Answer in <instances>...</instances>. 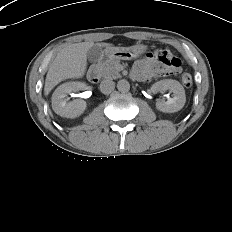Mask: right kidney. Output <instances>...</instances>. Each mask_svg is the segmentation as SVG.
I'll use <instances>...</instances> for the list:
<instances>
[{
    "label": "right kidney",
    "mask_w": 232,
    "mask_h": 232,
    "mask_svg": "<svg viewBox=\"0 0 232 232\" xmlns=\"http://www.w3.org/2000/svg\"><path fill=\"white\" fill-rule=\"evenodd\" d=\"M86 87L82 82H66L60 85L52 95V108L54 112L62 117L75 118L80 116L86 109V102L76 99L67 102L66 96L71 92H77Z\"/></svg>",
    "instance_id": "1"
}]
</instances>
